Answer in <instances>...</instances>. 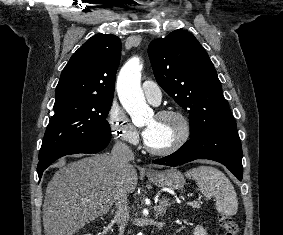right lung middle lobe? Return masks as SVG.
Wrapping results in <instances>:
<instances>
[{
    "label": "right lung middle lobe",
    "instance_id": "1",
    "mask_svg": "<svg viewBox=\"0 0 283 235\" xmlns=\"http://www.w3.org/2000/svg\"><path fill=\"white\" fill-rule=\"evenodd\" d=\"M113 98L73 97L54 104L55 114L47 126L39 159L80 140L110 136L106 120Z\"/></svg>",
    "mask_w": 283,
    "mask_h": 235
}]
</instances>
